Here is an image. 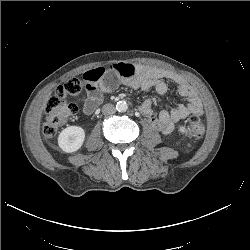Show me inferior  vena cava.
Wrapping results in <instances>:
<instances>
[{"label":"inferior vena cava","instance_id":"obj_1","mask_svg":"<svg viewBox=\"0 0 250 250\" xmlns=\"http://www.w3.org/2000/svg\"><path fill=\"white\" fill-rule=\"evenodd\" d=\"M102 112L105 115L114 114L116 112V109L112 104H105L102 108Z\"/></svg>","mask_w":250,"mask_h":250}]
</instances>
